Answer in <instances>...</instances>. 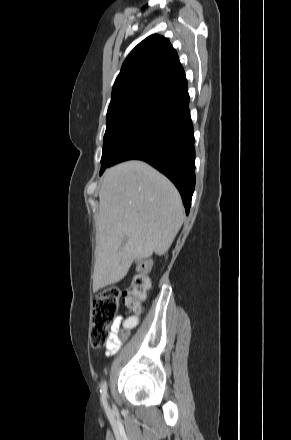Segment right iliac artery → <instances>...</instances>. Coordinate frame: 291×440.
I'll return each instance as SVG.
<instances>
[{
    "label": "right iliac artery",
    "mask_w": 291,
    "mask_h": 440,
    "mask_svg": "<svg viewBox=\"0 0 291 440\" xmlns=\"http://www.w3.org/2000/svg\"><path fill=\"white\" fill-rule=\"evenodd\" d=\"M100 391H101V397H102L104 408H105L106 412H109V408H108V405H107V402H106V398H107V384H106V381H104L102 383Z\"/></svg>",
    "instance_id": "right-iliac-artery-1"
}]
</instances>
